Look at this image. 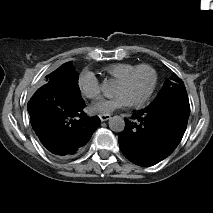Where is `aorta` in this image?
<instances>
[{
  "instance_id": "1",
  "label": "aorta",
  "mask_w": 213,
  "mask_h": 213,
  "mask_svg": "<svg viewBox=\"0 0 213 213\" xmlns=\"http://www.w3.org/2000/svg\"><path fill=\"white\" fill-rule=\"evenodd\" d=\"M108 125L113 132H122L125 129V121L120 116H113L109 118Z\"/></svg>"
}]
</instances>
